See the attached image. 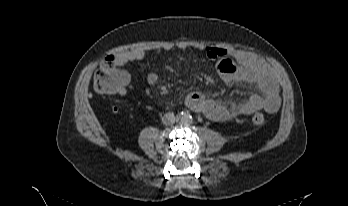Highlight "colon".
Masks as SVG:
<instances>
[{
    "label": "colon",
    "instance_id": "colon-1",
    "mask_svg": "<svg viewBox=\"0 0 348 206\" xmlns=\"http://www.w3.org/2000/svg\"><path fill=\"white\" fill-rule=\"evenodd\" d=\"M128 74L120 69L117 59L114 55L107 56L94 75L95 90L104 95H112L120 92L126 85ZM113 112L117 111L116 106H111ZM263 113L256 112L252 117L255 125H263L265 123Z\"/></svg>",
    "mask_w": 348,
    "mask_h": 206
}]
</instances>
